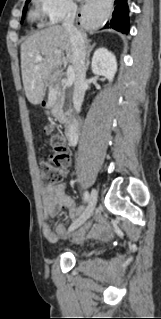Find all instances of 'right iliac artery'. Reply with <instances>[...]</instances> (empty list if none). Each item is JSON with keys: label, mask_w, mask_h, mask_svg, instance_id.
Segmentation results:
<instances>
[{"label": "right iliac artery", "mask_w": 161, "mask_h": 319, "mask_svg": "<svg viewBox=\"0 0 161 319\" xmlns=\"http://www.w3.org/2000/svg\"><path fill=\"white\" fill-rule=\"evenodd\" d=\"M89 199H90L89 193H88V192H84V200H85L86 202H88Z\"/></svg>", "instance_id": "right-iliac-artery-1"}]
</instances>
